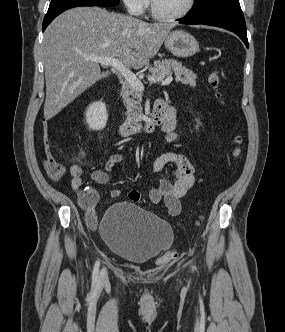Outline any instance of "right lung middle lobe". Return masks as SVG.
Segmentation results:
<instances>
[{
    "instance_id": "1",
    "label": "right lung middle lobe",
    "mask_w": 285,
    "mask_h": 332,
    "mask_svg": "<svg viewBox=\"0 0 285 332\" xmlns=\"http://www.w3.org/2000/svg\"><path fill=\"white\" fill-rule=\"evenodd\" d=\"M120 0H52L50 6L66 3H92L100 6H116Z\"/></svg>"
}]
</instances>
